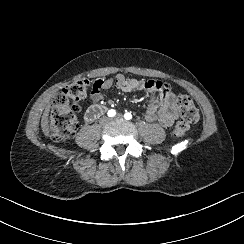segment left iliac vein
<instances>
[{
	"label": "left iliac vein",
	"instance_id": "4c4485c4",
	"mask_svg": "<svg viewBox=\"0 0 244 244\" xmlns=\"http://www.w3.org/2000/svg\"><path fill=\"white\" fill-rule=\"evenodd\" d=\"M122 115L121 114H117L114 118H112L111 120H122Z\"/></svg>",
	"mask_w": 244,
	"mask_h": 244
}]
</instances>
